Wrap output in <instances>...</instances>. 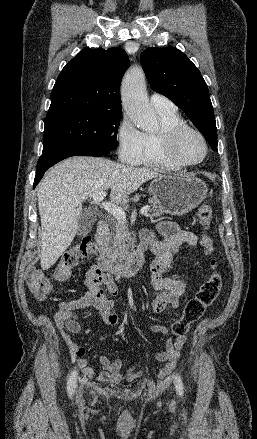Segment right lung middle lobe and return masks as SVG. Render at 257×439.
Here are the masks:
<instances>
[{
  "label": "right lung middle lobe",
  "instance_id": "dd1d6c3e",
  "mask_svg": "<svg viewBox=\"0 0 257 439\" xmlns=\"http://www.w3.org/2000/svg\"><path fill=\"white\" fill-rule=\"evenodd\" d=\"M121 112L74 110L45 118L43 154L64 148L112 151L118 146Z\"/></svg>",
  "mask_w": 257,
  "mask_h": 439
}]
</instances>
